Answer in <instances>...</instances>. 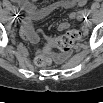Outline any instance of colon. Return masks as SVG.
<instances>
[{
    "label": "colon",
    "instance_id": "obj_1",
    "mask_svg": "<svg viewBox=\"0 0 103 103\" xmlns=\"http://www.w3.org/2000/svg\"><path fill=\"white\" fill-rule=\"evenodd\" d=\"M78 18L83 19V16L79 15ZM79 37L80 33L78 30H70L63 35L50 40L44 46L43 51L36 57L35 63L39 67L50 66L53 61L54 49H58L62 52V54L57 57V60L60 61V57L63 54H68Z\"/></svg>",
    "mask_w": 103,
    "mask_h": 103
}]
</instances>
